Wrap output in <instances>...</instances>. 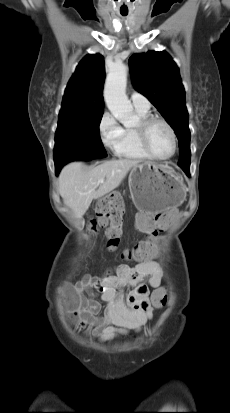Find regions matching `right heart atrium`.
I'll list each match as a JSON object with an SVG mask.
<instances>
[{
	"label": "right heart atrium",
	"instance_id": "right-heart-atrium-1",
	"mask_svg": "<svg viewBox=\"0 0 230 413\" xmlns=\"http://www.w3.org/2000/svg\"><path fill=\"white\" fill-rule=\"evenodd\" d=\"M100 140L104 147L114 151L121 139L122 127L110 112H105L98 124Z\"/></svg>",
	"mask_w": 230,
	"mask_h": 413
}]
</instances>
